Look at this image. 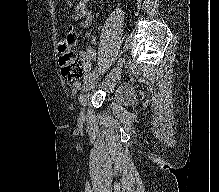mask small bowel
<instances>
[{
	"label": "small bowel",
	"mask_w": 219,
	"mask_h": 192,
	"mask_svg": "<svg viewBox=\"0 0 219 192\" xmlns=\"http://www.w3.org/2000/svg\"><path fill=\"white\" fill-rule=\"evenodd\" d=\"M89 0H78L75 11L73 13V18L79 21V27L82 29H87L91 26L94 18L95 12L89 11L87 9V4ZM89 45L87 48L80 52V55L86 60V70H89L90 63L96 59V51L93 45L97 43V37L92 32L86 33Z\"/></svg>",
	"instance_id": "obj_1"
}]
</instances>
